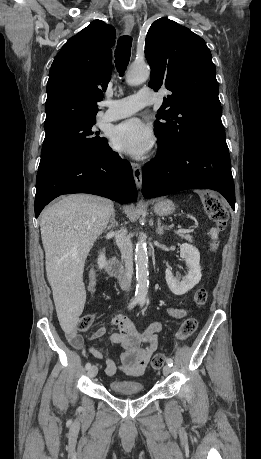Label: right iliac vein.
Listing matches in <instances>:
<instances>
[{
    "mask_svg": "<svg viewBox=\"0 0 261 459\" xmlns=\"http://www.w3.org/2000/svg\"><path fill=\"white\" fill-rule=\"evenodd\" d=\"M97 372H98V368L96 366H92L89 368L87 374L90 378H94L97 375Z\"/></svg>",
    "mask_w": 261,
    "mask_h": 459,
    "instance_id": "1",
    "label": "right iliac vein"
}]
</instances>
